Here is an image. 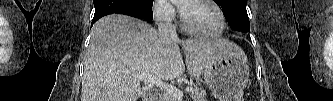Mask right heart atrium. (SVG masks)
Returning a JSON list of instances; mask_svg holds the SVG:
<instances>
[{
  "label": "right heart atrium",
  "mask_w": 333,
  "mask_h": 101,
  "mask_svg": "<svg viewBox=\"0 0 333 101\" xmlns=\"http://www.w3.org/2000/svg\"><path fill=\"white\" fill-rule=\"evenodd\" d=\"M153 17L160 25L169 24L176 17V9L169 0H156L153 7Z\"/></svg>",
  "instance_id": "1"
}]
</instances>
